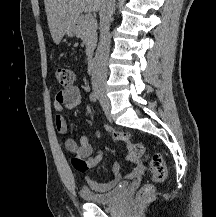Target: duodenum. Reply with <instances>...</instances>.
I'll list each match as a JSON object with an SVG mask.
<instances>
[{
  "label": "duodenum",
  "instance_id": "duodenum-1",
  "mask_svg": "<svg viewBox=\"0 0 216 217\" xmlns=\"http://www.w3.org/2000/svg\"><path fill=\"white\" fill-rule=\"evenodd\" d=\"M95 69V58L94 56L91 54L89 57V61H88V72L92 73Z\"/></svg>",
  "mask_w": 216,
  "mask_h": 217
}]
</instances>
